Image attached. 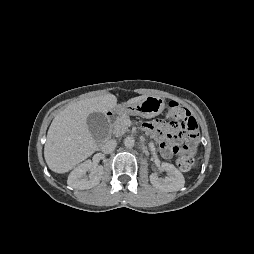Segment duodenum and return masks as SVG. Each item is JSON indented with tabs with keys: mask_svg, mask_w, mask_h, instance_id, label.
Returning a JSON list of instances; mask_svg holds the SVG:
<instances>
[{
	"mask_svg": "<svg viewBox=\"0 0 254 254\" xmlns=\"http://www.w3.org/2000/svg\"><path fill=\"white\" fill-rule=\"evenodd\" d=\"M121 114L119 110H113L108 113V120L112 121Z\"/></svg>",
	"mask_w": 254,
	"mask_h": 254,
	"instance_id": "1",
	"label": "duodenum"
}]
</instances>
